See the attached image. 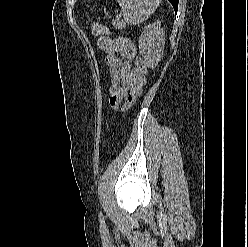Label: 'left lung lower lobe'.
Returning <instances> with one entry per match:
<instances>
[{
    "mask_svg": "<svg viewBox=\"0 0 248 247\" xmlns=\"http://www.w3.org/2000/svg\"><path fill=\"white\" fill-rule=\"evenodd\" d=\"M178 1L179 0H169V2L173 5L175 12H177L178 9Z\"/></svg>",
    "mask_w": 248,
    "mask_h": 247,
    "instance_id": "0a47b994",
    "label": "left lung lower lobe"
}]
</instances>
